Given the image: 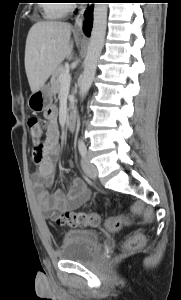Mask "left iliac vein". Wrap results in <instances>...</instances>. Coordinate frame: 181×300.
<instances>
[{"label": "left iliac vein", "instance_id": "4c4485c4", "mask_svg": "<svg viewBox=\"0 0 181 300\" xmlns=\"http://www.w3.org/2000/svg\"><path fill=\"white\" fill-rule=\"evenodd\" d=\"M81 165L84 173L91 179L95 180L98 175V170L95 164L91 163L87 158H83Z\"/></svg>", "mask_w": 181, "mask_h": 300}]
</instances>
